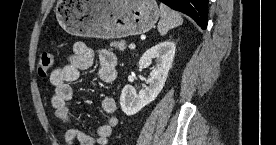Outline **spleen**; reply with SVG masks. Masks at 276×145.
<instances>
[{"label": "spleen", "mask_w": 276, "mask_h": 145, "mask_svg": "<svg viewBox=\"0 0 276 145\" xmlns=\"http://www.w3.org/2000/svg\"><path fill=\"white\" fill-rule=\"evenodd\" d=\"M160 14L161 19L158 23V31L162 36L165 35L170 29L183 23V19L180 14L163 3L160 4Z\"/></svg>", "instance_id": "spleen-1"}]
</instances>
